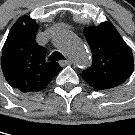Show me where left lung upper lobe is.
I'll return each mask as SVG.
<instances>
[{
  "instance_id": "obj_1",
  "label": "left lung upper lobe",
  "mask_w": 135,
  "mask_h": 135,
  "mask_svg": "<svg viewBox=\"0 0 135 135\" xmlns=\"http://www.w3.org/2000/svg\"><path fill=\"white\" fill-rule=\"evenodd\" d=\"M93 61L80 75L93 88L106 90L126 81L134 69L132 50L110 22L84 28Z\"/></svg>"
}]
</instances>
